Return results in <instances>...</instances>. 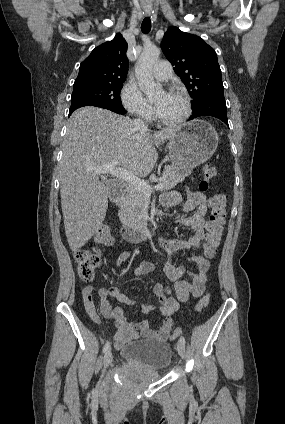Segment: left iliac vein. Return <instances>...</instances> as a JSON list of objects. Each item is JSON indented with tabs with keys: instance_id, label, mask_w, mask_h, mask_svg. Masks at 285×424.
<instances>
[{
	"instance_id": "4c4485c4",
	"label": "left iliac vein",
	"mask_w": 285,
	"mask_h": 424,
	"mask_svg": "<svg viewBox=\"0 0 285 424\" xmlns=\"http://www.w3.org/2000/svg\"><path fill=\"white\" fill-rule=\"evenodd\" d=\"M178 354L183 358L185 356V346L180 341L177 344Z\"/></svg>"
}]
</instances>
